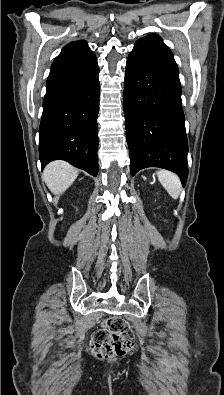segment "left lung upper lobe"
<instances>
[{"label": "left lung upper lobe", "mask_w": 224, "mask_h": 395, "mask_svg": "<svg viewBox=\"0 0 224 395\" xmlns=\"http://www.w3.org/2000/svg\"><path fill=\"white\" fill-rule=\"evenodd\" d=\"M138 41H147V42H151V43H156V44H160V45H162V46L168 48V47L163 43L162 38L159 37V36L156 35V34L148 35V36H146V37H144V38L139 39ZM168 49H169V48H168Z\"/></svg>", "instance_id": "1"}]
</instances>
